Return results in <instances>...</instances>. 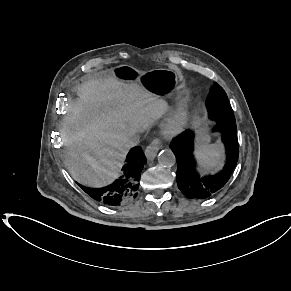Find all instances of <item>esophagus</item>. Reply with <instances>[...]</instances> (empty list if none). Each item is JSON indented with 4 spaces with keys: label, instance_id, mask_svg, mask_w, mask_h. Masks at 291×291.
I'll use <instances>...</instances> for the list:
<instances>
[{
    "label": "esophagus",
    "instance_id": "1",
    "mask_svg": "<svg viewBox=\"0 0 291 291\" xmlns=\"http://www.w3.org/2000/svg\"><path fill=\"white\" fill-rule=\"evenodd\" d=\"M161 148V141L158 138H155L145 149V155L148 160H153L159 149Z\"/></svg>",
    "mask_w": 291,
    "mask_h": 291
}]
</instances>
